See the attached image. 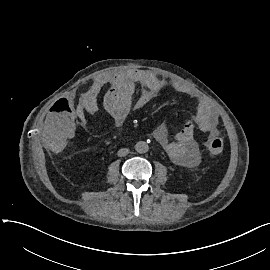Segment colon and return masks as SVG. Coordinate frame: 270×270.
Here are the masks:
<instances>
[{
	"label": "colon",
	"mask_w": 270,
	"mask_h": 270,
	"mask_svg": "<svg viewBox=\"0 0 270 270\" xmlns=\"http://www.w3.org/2000/svg\"><path fill=\"white\" fill-rule=\"evenodd\" d=\"M207 150L211 155H218L224 147V140L220 136L212 137L206 144Z\"/></svg>",
	"instance_id": "1"
}]
</instances>
